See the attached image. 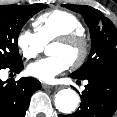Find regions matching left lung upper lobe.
Returning <instances> with one entry per match:
<instances>
[{"label":"left lung upper lobe","instance_id":"5c2ea615","mask_svg":"<svg viewBox=\"0 0 117 117\" xmlns=\"http://www.w3.org/2000/svg\"><path fill=\"white\" fill-rule=\"evenodd\" d=\"M83 15L90 29L92 47L88 60L75 72L83 80L105 67L117 64V28L97 9L86 5H62Z\"/></svg>","mask_w":117,"mask_h":117}]
</instances>
